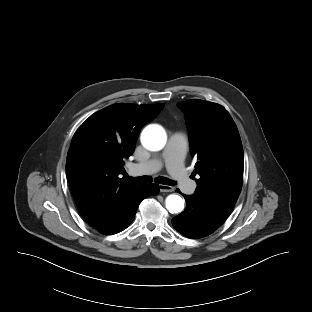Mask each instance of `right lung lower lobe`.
Instances as JSON below:
<instances>
[{"label":"right lung lower lobe","instance_id":"right-lung-lower-lobe-1","mask_svg":"<svg viewBox=\"0 0 312 312\" xmlns=\"http://www.w3.org/2000/svg\"><path fill=\"white\" fill-rule=\"evenodd\" d=\"M158 192L159 186L157 184L140 185L118 216L107 225L96 230L102 234L109 235L126 229L134 220L141 201L148 196L157 195Z\"/></svg>","mask_w":312,"mask_h":312}]
</instances>
